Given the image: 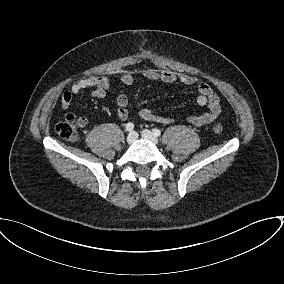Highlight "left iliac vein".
Segmentation results:
<instances>
[{
	"instance_id": "left-iliac-vein-1",
	"label": "left iliac vein",
	"mask_w": 284,
	"mask_h": 284,
	"mask_svg": "<svg viewBox=\"0 0 284 284\" xmlns=\"http://www.w3.org/2000/svg\"><path fill=\"white\" fill-rule=\"evenodd\" d=\"M141 135L144 139H147L154 144L158 143V138L150 130H147V129L143 130L141 132Z\"/></svg>"
}]
</instances>
